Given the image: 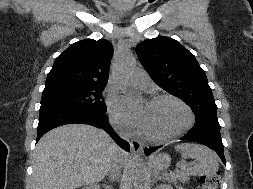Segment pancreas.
Wrapping results in <instances>:
<instances>
[{
    "mask_svg": "<svg viewBox=\"0 0 253 189\" xmlns=\"http://www.w3.org/2000/svg\"><path fill=\"white\" fill-rule=\"evenodd\" d=\"M166 176H167V179H169L171 181L180 180L182 183H185L189 180V174L185 170L182 172L173 173V174L166 175Z\"/></svg>",
    "mask_w": 253,
    "mask_h": 189,
    "instance_id": "cf45deb5",
    "label": "pancreas"
}]
</instances>
